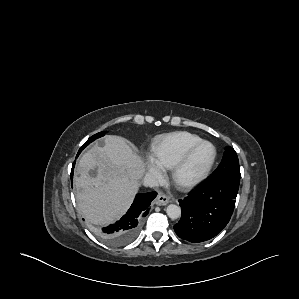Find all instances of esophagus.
<instances>
[{
  "label": "esophagus",
  "instance_id": "1",
  "mask_svg": "<svg viewBox=\"0 0 299 299\" xmlns=\"http://www.w3.org/2000/svg\"><path fill=\"white\" fill-rule=\"evenodd\" d=\"M169 202H170V198L163 193H159L155 199V203L157 205H166Z\"/></svg>",
  "mask_w": 299,
  "mask_h": 299
}]
</instances>
